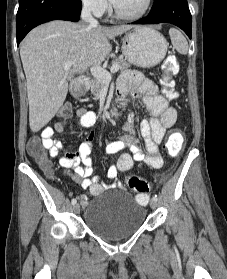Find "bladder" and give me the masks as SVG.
Listing matches in <instances>:
<instances>
[{"instance_id":"31cf9c89","label":"bladder","mask_w":227,"mask_h":279,"mask_svg":"<svg viewBox=\"0 0 227 279\" xmlns=\"http://www.w3.org/2000/svg\"><path fill=\"white\" fill-rule=\"evenodd\" d=\"M146 210L127 191L97 194L84 213L86 227L100 238L117 241L133 235L144 223Z\"/></svg>"}]
</instances>
